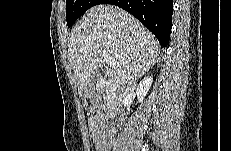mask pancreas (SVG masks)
<instances>
[{"instance_id":"obj_1","label":"pancreas","mask_w":231,"mask_h":151,"mask_svg":"<svg viewBox=\"0 0 231 151\" xmlns=\"http://www.w3.org/2000/svg\"><path fill=\"white\" fill-rule=\"evenodd\" d=\"M111 99H112L111 93L108 92V93H107V96H106V101H107V103L110 102Z\"/></svg>"}]
</instances>
